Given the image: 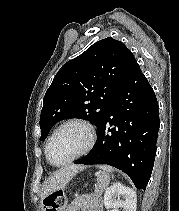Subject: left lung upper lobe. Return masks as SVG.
Here are the masks:
<instances>
[{
  "label": "left lung upper lobe",
  "mask_w": 179,
  "mask_h": 211,
  "mask_svg": "<svg viewBox=\"0 0 179 211\" xmlns=\"http://www.w3.org/2000/svg\"><path fill=\"white\" fill-rule=\"evenodd\" d=\"M133 58L122 42L109 37L65 63L44 96L40 140L46 138L56 122L71 117L87 119L99 131Z\"/></svg>",
  "instance_id": "1"
}]
</instances>
